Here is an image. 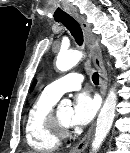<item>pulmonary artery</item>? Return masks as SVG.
Masks as SVG:
<instances>
[{"mask_svg":"<svg viewBox=\"0 0 130 153\" xmlns=\"http://www.w3.org/2000/svg\"><path fill=\"white\" fill-rule=\"evenodd\" d=\"M83 75L79 73H69L48 84L45 91L56 99H59L65 92L78 90L81 88Z\"/></svg>","mask_w":130,"mask_h":153,"instance_id":"1","label":"pulmonary artery"}]
</instances>
